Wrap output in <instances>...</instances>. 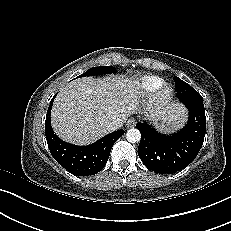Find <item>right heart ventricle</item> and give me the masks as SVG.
<instances>
[{
	"label": "right heart ventricle",
	"instance_id": "right-heart-ventricle-1",
	"mask_svg": "<svg viewBox=\"0 0 231 231\" xmlns=\"http://www.w3.org/2000/svg\"><path fill=\"white\" fill-rule=\"evenodd\" d=\"M162 78L155 75H143L128 80L129 93L136 98H147L152 96L162 85Z\"/></svg>",
	"mask_w": 231,
	"mask_h": 231
}]
</instances>
